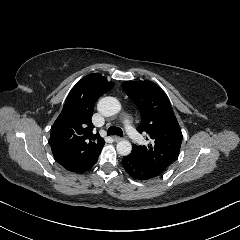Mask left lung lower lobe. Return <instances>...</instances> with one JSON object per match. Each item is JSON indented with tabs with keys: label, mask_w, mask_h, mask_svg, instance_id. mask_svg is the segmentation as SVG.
I'll use <instances>...</instances> for the list:
<instances>
[{
	"label": "left lung lower lobe",
	"mask_w": 240,
	"mask_h": 240,
	"mask_svg": "<svg viewBox=\"0 0 240 240\" xmlns=\"http://www.w3.org/2000/svg\"><path fill=\"white\" fill-rule=\"evenodd\" d=\"M122 164L126 172L136 180H148L158 176L164 171V169L144 163L132 154L123 157Z\"/></svg>",
	"instance_id": "obj_1"
}]
</instances>
